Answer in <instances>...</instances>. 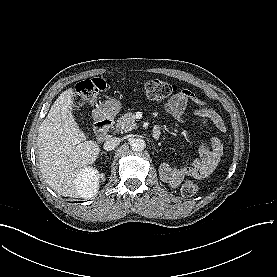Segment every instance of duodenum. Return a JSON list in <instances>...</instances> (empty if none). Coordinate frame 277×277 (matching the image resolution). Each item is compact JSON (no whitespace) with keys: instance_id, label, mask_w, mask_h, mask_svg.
Returning a JSON list of instances; mask_svg holds the SVG:
<instances>
[{"instance_id":"obj_1","label":"duodenum","mask_w":277,"mask_h":277,"mask_svg":"<svg viewBox=\"0 0 277 277\" xmlns=\"http://www.w3.org/2000/svg\"><path fill=\"white\" fill-rule=\"evenodd\" d=\"M114 125V120L105 116L104 111L99 109L97 112V119L95 123V129L100 136L101 140L104 141L108 138L109 132ZM161 132L159 129H154L152 131V138L158 140L160 138Z\"/></svg>"}]
</instances>
